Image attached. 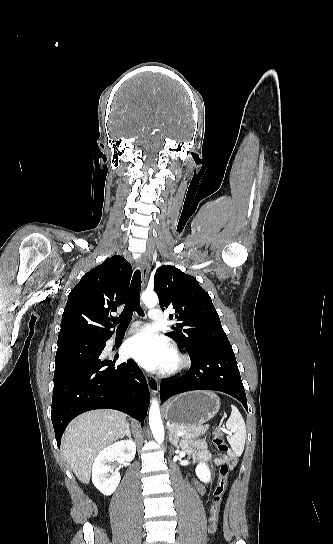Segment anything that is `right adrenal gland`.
Here are the masks:
<instances>
[{
    "label": "right adrenal gland",
    "instance_id": "right-adrenal-gland-1",
    "mask_svg": "<svg viewBox=\"0 0 333 544\" xmlns=\"http://www.w3.org/2000/svg\"><path fill=\"white\" fill-rule=\"evenodd\" d=\"M127 436L129 439H131V430H130V425L129 424H126V430H125V433H124V436Z\"/></svg>",
    "mask_w": 333,
    "mask_h": 544
}]
</instances>
